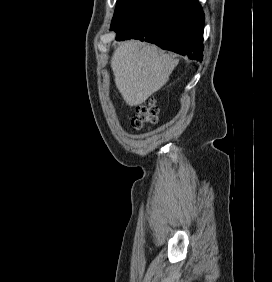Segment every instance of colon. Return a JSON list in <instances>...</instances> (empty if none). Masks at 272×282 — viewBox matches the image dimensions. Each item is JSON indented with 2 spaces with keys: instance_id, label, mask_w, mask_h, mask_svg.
I'll use <instances>...</instances> for the list:
<instances>
[{
  "instance_id": "colon-1",
  "label": "colon",
  "mask_w": 272,
  "mask_h": 282,
  "mask_svg": "<svg viewBox=\"0 0 272 282\" xmlns=\"http://www.w3.org/2000/svg\"><path fill=\"white\" fill-rule=\"evenodd\" d=\"M157 116V110L152 103L142 105L137 108L136 114L132 119V126L134 129H140L144 125L153 123Z\"/></svg>"
}]
</instances>
